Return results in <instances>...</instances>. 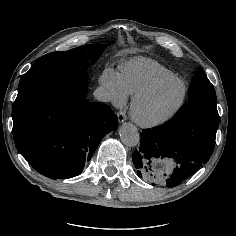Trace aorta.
<instances>
[{"label":"aorta","instance_id":"obj_1","mask_svg":"<svg viewBox=\"0 0 236 236\" xmlns=\"http://www.w3.org/2000/svg\"><path fill=\"white\" fill-rule=\"evenodd\" d=\"M120 139L127 147H135L140 141L137 127L132 123H123L119 128Z\"/></svg>","mask_w":236,"mask_h":236}]
</instances>
